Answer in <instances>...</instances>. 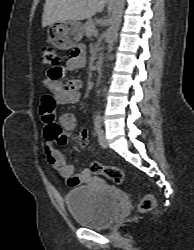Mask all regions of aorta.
<instances>
[{
  "label": "aorta",
  "mask_w": 194,
  "mask_h": 250,
  "mask_svg": "<svg viewBox=\"0 0 194 250\" xmlns=\"http://www.w3.org/2000/svg\"><path fill=\"white\" fill-rule=\"evenodd\" d=\"M123 7L124 0H114L110 18V27L108 29V52L106 56L107 58L110 57V53L113 50L114 41L117 37L118 30L120 27Z\"/></svg>",
  "instance_id": "1"
}]
</instances>
